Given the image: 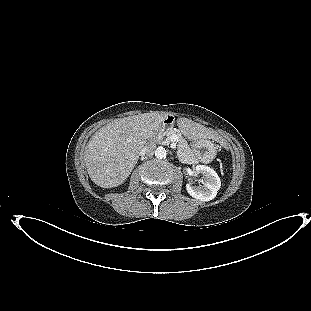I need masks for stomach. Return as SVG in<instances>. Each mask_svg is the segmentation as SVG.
I'll return each mask as SVG.
<instances>
[{
    "label": "stomach",
    "instance_id": "1",
    "mask_svg": "<svg viewBox=\"0 0 311 311\" xmlns=\"http://www.w3.org/2000/svg\"><path fill=\"white\" fill-rule=\"evenodd\" d=\"M181 132L189 139L193 141V152L195 155L204 162L212 161L217 153L215 145L206 138H197L192 135V132L183 131Z\"/></svg>",
    "mask_w": 311,
    "mask_h": 311
}]
</instances>
